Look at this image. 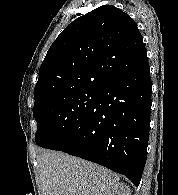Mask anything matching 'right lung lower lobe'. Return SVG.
Masks as SVG:
<instances>
[{
	"label": "right lung lower lobe",
	"instance_id": "right-lung-lower-lobe-1",
	"mask_svg": "<svg viewBox=\"0 0 178 195\" xmlns=\"http://www.w3.org/2000/svg\"><path fill=\"white\" fill-rule=\"evenodd\" d=\"M151 92L148 63L107 83L53 150L98 163L138 186L146 162Z\"/></svg>",
	"mask_w": 178,
	"mask_h": 195
}]
</instances>
